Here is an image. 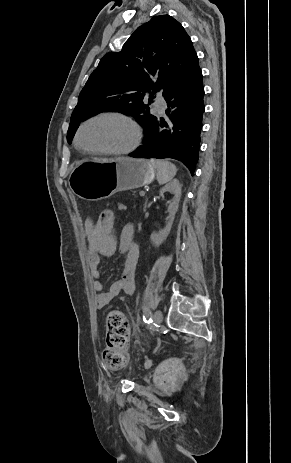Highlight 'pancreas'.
<instances>
[{"mask_svg":"<svg viewBox=\"0 0 291 463\" xmlns=\"http://www.w3.org/2000/svg\"><path fill=\"white\" fill-rule=\"evenodd\" d=\"M131 196H133L134 198H136V197L138 196V195H137V191H133V192L131 193Z\"/></svg>","mask_w":291,"mask_h":463,"instance_id":"pancreas-1","label":"pancreas"}]
</instances>
